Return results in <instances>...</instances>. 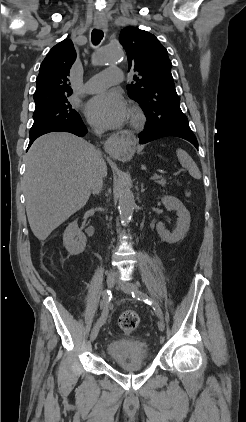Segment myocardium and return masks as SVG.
<instances>
[{
  "mask_svg": "<svg viewBox=\"0 0 246 422\" xmlns=\"http://www.w3.org/2000/svg\"><path fill=\"white\" fill-rule=\"evenodd\" d=\"M146 123V117L143 111L138 108L134 107L130 113V126L132 129L138 130L144 127Z\"/></svg>",
  "mask_w": 246,
  "mask_h": 422,
  "instance_id": "1",
  "label": "myocardium"
}]
</instances>
